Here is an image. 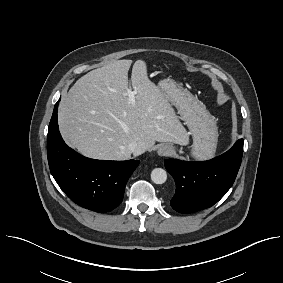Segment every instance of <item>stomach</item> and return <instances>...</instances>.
<instances>
[{
    "label": "stomach",
    "mask_w": 283,
    "mask_h": 283,
    "mask_svg": "<svg viewBox=\"0 0 283 283\" xmlns=\"http://www.w3.org/2000/svg\"><path fill=\"white\" fill-rule=\"evenodd\" d=\"M158 87L166 99L177 108L180 118L189 129L193 139L191 156L197 160L214 157L218 142V127L215 118L205 105L173 80H161ZM179 153L184 152L180 150Z\"/></svg>",
    "instance_id": "1"
}]
</instances>
